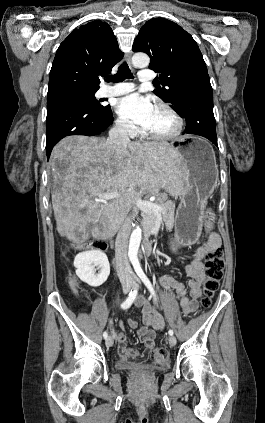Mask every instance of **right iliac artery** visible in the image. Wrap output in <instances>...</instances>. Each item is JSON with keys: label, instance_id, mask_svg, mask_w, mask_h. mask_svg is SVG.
<instances>
[{"label": "right iliac artery", "instance_id": "right-iliac-artery-1", "mask_svg": "<svg viewBox=\"0 0 265 423\" xmlns=\"http://www.w3.org/2000/svg\"><path fill=\"white\" fill-rule=\"evenodd\" d=\"M136 296H137V288H134L129 293L127 299L121 304V308H123V309L129 308L132 305V303L134 302ZM103 337L105 339L108 337V334H107L106 331L103 333Z\"/></svg>", "mask_w": 265, "mask_h": 423}]
</instances>
